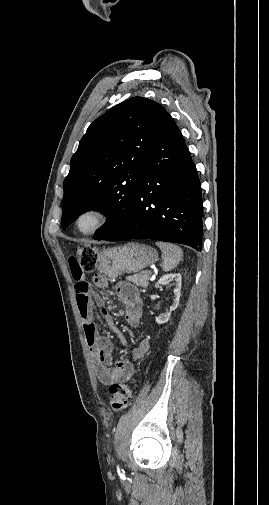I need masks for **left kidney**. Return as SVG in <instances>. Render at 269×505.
Returning a JSON list of instances; mask_svg holds the SVG:
<instances>
[{
    "instance_id": "left-kidney-1",
    "label": "left kidney",
    "mask_w": 269,
    "mask_h": 505,
    "mask_svg": "<svg viewBox=\"0 0 269 505\" xmlns=\"http://www.w3.org/2000/svg\"><path fill=\"white\" fill-rule=\"evenodd\" d=\"M171 280L175 281V289L173 291L174 292V300H173V303L170 307L169 312L155 318V321L157 324H164V323L168 322V320L170 319V316H171V312L174 311L179 305V300H180V296H181V293H180L181 283H182L181 274L171 273V274L163 275L158 280V282L155 284V288H159L162 284H164L165 282L171 281Z\"/></svg>"
}]
</instances>
